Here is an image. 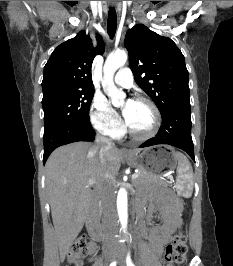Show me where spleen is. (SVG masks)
<instances>
[{
  "mask_svg": "<svg viewBox=\"0 0 233 266\" xmlns=\"http://www.w3.org/2000/svg\"><path fill=\"white\" fill-rule=\"evenodd\" d=\"M178 161L176 190L178 195L189 198L193 192V170L190 162L182 153H175Z\"/></svg>",
  "mask_w": 233,
  "mask_h": 266,
  "instance_id": "spleen-1",
  "label": "spleen"
}]
</instances>
